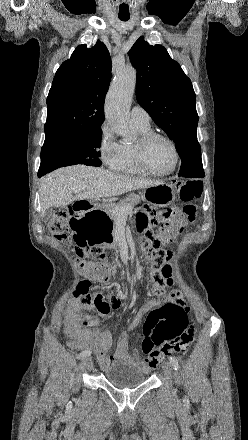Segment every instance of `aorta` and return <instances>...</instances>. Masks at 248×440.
<instances>
[{"label": "aorta", "mask_w": 248, "mask_h": 440, "mask_svg": "<svg viewBox=\"0 0 248 440\" xmlns=\"http://www.w3.org/2000/svg\"><path fill=\"white\" fill-rule=\"evenodd\" d=\"M136 86V71L126 68L120 71L106 98L105 116L113 132L124 140L134 137L129 126V105Z\"/></svg>", "instance_id": "obj_1"}]
</instances>
